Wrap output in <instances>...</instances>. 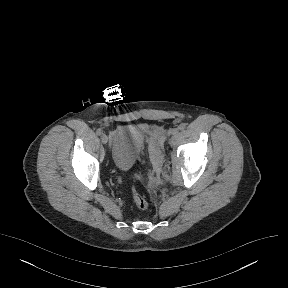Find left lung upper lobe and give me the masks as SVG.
<instances>
[{
  "instance_id": "obj_1",
  "label": "left lung upper lobe",
  "mask_w": 288,
  "mask_h": 288,
  "mask_svg": "<svg viewBox=\"0 0 288 288\" xmlns=\"http://www.w3.org/2000/svg\"><path fill=\"white\" fill-rule=\"evenodd\" d=\"M259 213L255 212L250 216L249 222H253L257 217H258Z\"/></svg>"
}]
</instances>
